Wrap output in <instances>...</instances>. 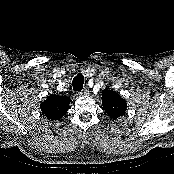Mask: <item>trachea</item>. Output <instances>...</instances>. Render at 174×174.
<instances>
[{
    "mask_svg": "<svg viewBox=\"0 0 174 174\" xmlns=\"http://www.w3.org/2000/svg\"><path fill=\"white\" fill-rule=\"evenodd\" d=\"M84 77L82 74H78L74 77L72 86L74 91H81L83 89Z\"/></svg>",
    "mask_w": 174,
    "mask_h": 174,
    "instance_id": "obj_1",
    "label": "trachea"
}]
</instances>
